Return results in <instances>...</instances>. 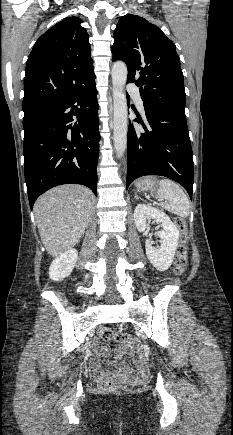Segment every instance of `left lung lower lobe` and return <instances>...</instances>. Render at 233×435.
I'll list each match as a JSON object with an SVG mask.
<instances>
[{"label":"left lung lower lobe","instance_id":"obj_1","mask_svg":"<svg viewBox=\"0 0 233 435\" xmlns=\"http://www.w3.org/2000/svg\"><path fill=\"white\" fill-rule=\"evenodd\" d=\"M149 129L129 124L127 188L144 175H160L181 184L192 199L194 164L185 112L145 105ZM137 121V120H136Z\"/></svg>","mask_w":233,"mask_h":435}]
</instances>
